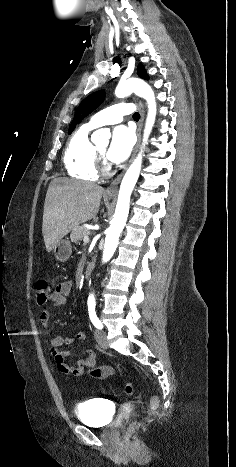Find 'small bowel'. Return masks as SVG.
<instances>
[{
	"mask_svg": "<svg viewBox=\"0 0 236 467\" xmlns=\"http://www.w3.org/2000/svg\"><path fill=\"white\" fill-rule=\"evenodd\" d=\"M72 286V282L69 280L56 286L51 295V307L43 309L40 313V320L45 329L48 328L52 310L59 309L65 305L66 297L71 293ZM75 327L79 329L76 336L77 340L84 341L86 339V334L82 330V323L76 322ZM73 342V338L62 334L56 335L49 340V352L59 373L70 377H82L88 369L89 374L97 379H105L114 374V369L111 366L96 365V355L92 349L84 350L83 357L74 365L68 364L66 358L69 355V351L62 350L60 347L64 344H72Z\"/></svg>",
	"mask_w": 236,
	"mask_h": 467,
	"instance_id": "1",
	"label": "small bowel"
}]
</instances>
